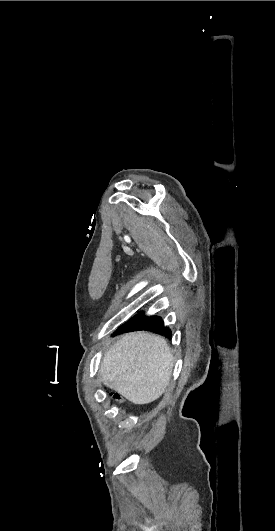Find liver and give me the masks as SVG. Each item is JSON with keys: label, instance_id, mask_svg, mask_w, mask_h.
Returning <instances> with one entry per match:
<instances>
[{"label": "liver", "instance_id": "6515ba94", "mask_svg": "<svg viewBox=\"0 0 275 531\" xmlns=\"http://www.w3.org/2000/svg\"><path fill=\"white\" fill-rule=\"evenodd\" d=\"M173 361L164 337L145 331L126 333L104 355L100 377L134 405H147L169 387Z\"/></svg>", "mask_w": 275, "mask_h": 531}]
</instances>
